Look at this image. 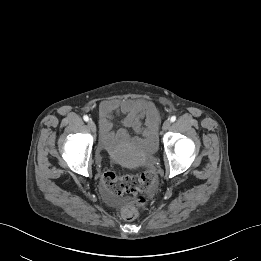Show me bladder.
<instances>
[{
  "instance_id": "31cf9c89",
  "label": "bladder",
  "mask_w": 261,
  "mask_h": 261,
  "mask_svg": "<svg viewBox=\"0 0 261 261\" xmlns=\"http://www.w3.org/2000/svg\"><path fill=\"white\" fill-rule=\"evenodd\" d=\"M100 146L107 150L116 161L127 163L128 156L123 153L126 146L132 147L137 153L151 156L155 153L157 144L154 135L130 136L129 134L114 133L110 138L102 137Z\"/></svg>"
}]
</instances>
